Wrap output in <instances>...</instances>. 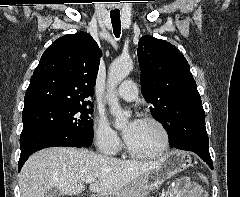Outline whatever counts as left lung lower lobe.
I'll return each instance as SVG.
<instances>
[{
	"label": "left lung lower lobe",
	"instance_id": "1",
	"mask_svg": "<svg viewBox=\"0 0 240 197\" xmlns=\"http://www.w3.org/2000/svg\"><path fill=\"white\" fill-rule=\"evenodd\" d=\"M168 138L172 148L195 152L213 169L205 114L201 105H196L190 111L173 119L172 125L169 126Z\"/></svg>",
	"mask_w": 240,
	"mask_h": 197
}]
</instances>
